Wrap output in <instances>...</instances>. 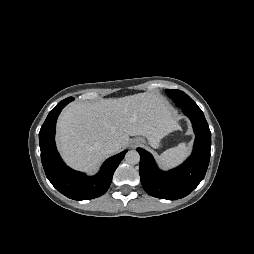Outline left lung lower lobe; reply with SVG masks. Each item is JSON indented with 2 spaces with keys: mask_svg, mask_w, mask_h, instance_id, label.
Segmentation results:
<instances>
[{
  "mask_svg": "<svg viewBox=\"0 0 254 254\" xmlns=\"http://www.w3.org/2000/svg\"><path fill=\"white\" fill-rule=\"evenodd\" d=\"M192 122L195 142L191 156L179 167L164 172L160 170L152 155L142 148L140 154V179L144 190L151 196L177 200L190 194L203 180L211 149V132L201 110L183 109Z\"/></svg>",
  "mask_w": 254,
  "mask_h": 254,
  "instance_id": "1",
  "label": "left lung lower lobe"
}]
</instances>
